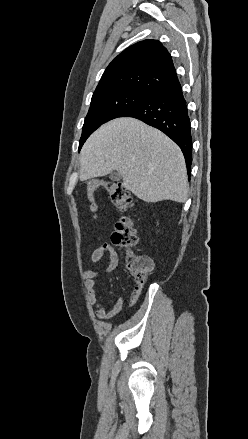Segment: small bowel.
<instances>
[{"mask_svg":"<svg viewBox=\"0 0 248 439\" xmlns=\"http://www.w3.org/2000/svg\"><path fill=\"white\" fill-rule=\"evenodd\" d=\"M105 255H108L109 262L103 270V273L109 274L113 272L119 264L118 253L112 245H110L109 243H103L102 245L95 248L91 254V263L93 264L94 268L88 269L83 273L88 302L96 308V317L101 320L112 319L122 310L125 304V298L121 297L112 305L110 309H107L105 305L97 298L95 285L100 275V262ZM141 290L142 286H135L129 299V308H132L136 304L140 296Z\"/></svg>","mask_w":248,"mask_h":439,"instance_id":"c3829d8e","label":"small bowel"}]
</instances>
